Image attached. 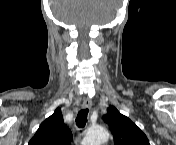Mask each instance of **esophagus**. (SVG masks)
<instances>
[{
	"instance_id": "34e87169",
	"label": "esophagus",
	"mask_w": 176,
	"mask_h": 145,
	"mask_svg": "<svg viewBox=\"0 0 176 145\" xmlns=\"http://www.w3.org/2000/svg\"><path fill=\"white\" fill-rule=\"evenodd\" d=\"M91 106H92V102H91L90 99H85V100L83 101V103H82V107H83L84 109L90 108Z\"/></svg>"
}]
</instances>
